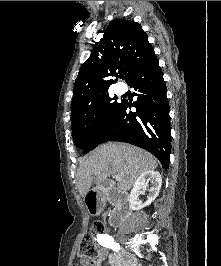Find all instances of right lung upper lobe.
<instances>
[{
	"label": "right lung upper lobe",
	"mask_w": 221,
	"mask_h": 266,
	"mask_svg": "<svg viewBox=\"0 0 221 266\" xmlns=\"http://www.w3.org/2000/svg\"><path fill=\"white\" fill-rule=\"evenodd\" d=\"M98 52L103 55L102 60L98 58ZM156 59L140 24L126 19L113 20L104 31L100 46L95 45L79 70L74 84L71 118L89 111L100 96L108 93V88L115 82L109 77L124 73L129 83L133 74Z\"/></svg>",
	"instance_id": "obj_1"
}]
</instances>
